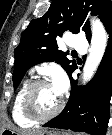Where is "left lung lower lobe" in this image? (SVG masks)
<instances>
[{"label": "left lung lower lobe", "mask_w": 112, "mask_h": 135, "mask_svg": "<svg viewBox=\"0 0 112 135\" xmlns=\"http://www.w3.org/2000/svg\"><path fill=\"white\" fill-rule=\"evenodd\" d=\"M108 44L94 78L77 88L71 77V94L64 110L43 127L70 129L91 135H105L109 121V102L112 93V19L106 26Z\"/></svg>", "instance_id": "0a47b994"}]
</instances>
